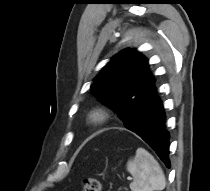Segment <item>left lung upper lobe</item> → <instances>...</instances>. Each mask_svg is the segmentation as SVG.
Segmentation results:
<instances>
[{"label":"left lung upper lobe","instance_id":"1","mask_svg":"<svg viewBox=\"0 0 210 191\" xmlns=\"http://www.w3.org/2000/svg\"><path fill=\"white\" fill-rule=\"evenodd\" d=\"M155 78L148 60L135 49H125L115 55L94 79L91 92L101 102L112 107L130 128L128 115L133 107L154 88ZM133 116V115H132Z\"/></svg>","mask_w":210,"mask_h":191}]
</instances>
